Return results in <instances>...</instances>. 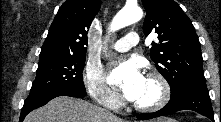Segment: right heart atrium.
<instances>
[{"mask_svg": "<svg viewBox=\"0 0 221 122\" xmlns=\"http://www.w3.org/2000/svg\"><path fill=\"white\" fill-rule=\"evenodd\" d=\"M84 84L94 101L110 109H117L122 103L120 95L106 83L102 70L94 65H87L84 71Z\"/></svg>", "mask_w": 221, "mask_h": 122, "instance_id": "1", "label": "right heart atrium"}]
</instances>
